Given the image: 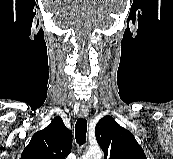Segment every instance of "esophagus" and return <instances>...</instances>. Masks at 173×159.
<instances>
[{
  "label": "esophagus",
  "mask_w": 173,
  "mask_h": 159,
  "mask_svg": "<svg viewBox=\"0 0 173 159\" xmlns=\"http://www.w3.org/2000/svg\"><path fill=\"white\" fill-rule=\"evenodd\" d=\"M88 113H89L88 108H86V107H81V109H80V116H81V117H87V116H88Z\"/></svg>",
  "instance_id": "34e87169"
}]
</instances>
